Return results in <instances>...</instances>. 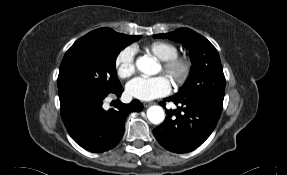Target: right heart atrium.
<instances>
[{"instance_id":"right-heart-atrium-1","label":"right heart atrium","mask_w":287,"mask_h":175,"mask_svg":"<svg viewBox=\"0 0 287 175\" xmlns=\"http://www.w3.org/2000/svg\"><path fill=\"white\" fill-rule=\"evenodd\" d=\"M114 65L120 78L131 77L136 71L135 48L132 46L122 48L115 57Z\"/></svg>"}]
</instances>
